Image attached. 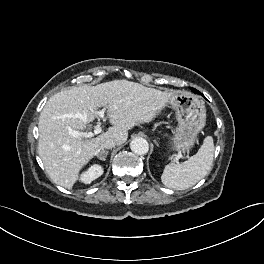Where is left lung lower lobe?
Here are the masks:
<instances>
[{
  "label": "left lung lower lobe",
  "mask_w": 264,
  "mask_h": 264,
  "mask_svg": "<svg viewBox=\"0 0 264 264\" xmlns=\"http://www.w3.org/2000/svg\"><path fill=\"white\" fill-rule=\"evenodd\" d=\"M192 90H193L194 92H196V90H195V89H193V88H192Z\"/></svg>",
  "instance_id": "1"
}]
</instances>
